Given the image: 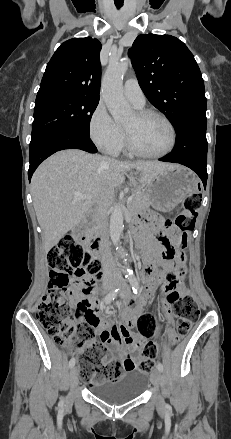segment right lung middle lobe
Here are the masks:
<instances>
[{
    "label": "right lung middle lobe",
    "instance_id": "obj_1",
    "mask_svg": "<svg viewBox=\"0 0 231 439\" xmlns=\"http://www.w3.org/2000/svg\"><path fill=\"white\" fill-rule=\"evenodd\" d=\"M98 103L99 99L78 95H54L36 100L31 141L60 128L89 135L90 120Z\"/></svg>",
    "mask_w": 231,
    "mask_h": 439
}]
</instances>
